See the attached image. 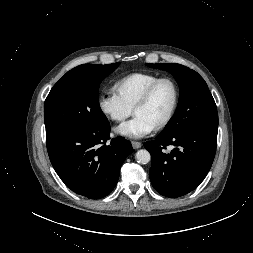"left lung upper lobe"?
<instances>
[{
  "mask_svg": "<svg viewBox=\"0 0 253 253\" xmlns=\"http://www.w3.org/2000/svg\"><path fill=\"white\" fill-rule=\"evenodd\" d=\"M146 65L171 73L180 88L177 110L161 132V136H172L196 128L218 130V113L215 101L206 82L197 72L176 63H146Z\"/></svg>",
  "mask_w": 253,
  "mask_h": 253,
  "instance_id": "obj_1",
  "label": "left lung upper lobe"
}]
</instances>
